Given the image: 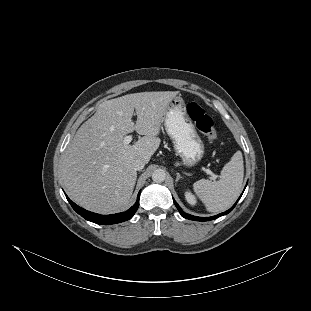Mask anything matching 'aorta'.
Here are the masks:
<instances>
[{
    "instance_id": "762f6f07",
    "label": "aorta",
    "mask_w": 311,
    "mask_h": 311,
    "mask_svg": "<svg viewBox=\"0 0 311 311\" xmlns=\"http://www.w3.org/2000/svg\"><path fill=\"white\" fill-rule=\"evenodd\" d=\"M166 179V173L163 169H156L152 173V180L156 183H162Z\"/></svg>"
}]
</instances>
